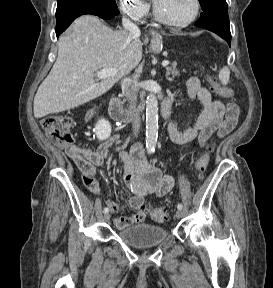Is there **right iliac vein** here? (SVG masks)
<instances>
[{"label": "right iliac vein", "instance_id": "right-iliac-vein-1", "mask_svg": "<svg viewBox=\"0 0 273 288\" xmlns=\"http://www.w3.org/2000/svg\"><path fill=\"white\" fill-rule=\"evenodd\" d=\"M110 220V214L109 213H105L104 215V221L108 222Z\"/></svg>", "mask_w": 273, "mask_h": 288}]
</instances>
